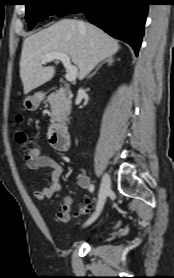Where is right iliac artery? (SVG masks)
I'll return each mask as SVG.
<instances>
[{
  "instance_id": "82829eb1",
  "label": "right iliac artery",
  "mask_w": 174,
  "mask_h": 278,
  "mask_svg": "<svg viewBox=\"0 0 174 278\" xmlns=\"http://www.w3.org/2000/svg\"><path fill=\"white\" fill-rule=\"evenodd\" d=\"M93 191H94V185H92L90 188V192H93Z\"/></svg>"
}]
</instances>
